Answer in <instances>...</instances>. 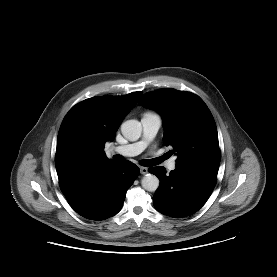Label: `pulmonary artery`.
<instances>
[{"label": "pulmonary artery", "mask_w": 277, "mask_h": 277, "mask_svg": "<svg viewBox=\"0 0 277 277\" xmlns=\"http://www.w3.org/2000/svg\"><path fill=\"white\" fill-rule=\"evenodd\" d=\"M141 124L143 129L142 138L134 143H130L124 146H117L111 149V152H115L124 156H135L140 154L149 143L156 136L160 126L161 118L159 115L154 113H145L141 118ZM169 171H173L176 168V159L171 158L167 164Z\"/></svg>", "instance_id": "pulmonary-artery-1"}]
</instances>
